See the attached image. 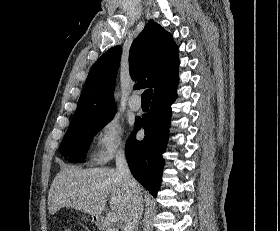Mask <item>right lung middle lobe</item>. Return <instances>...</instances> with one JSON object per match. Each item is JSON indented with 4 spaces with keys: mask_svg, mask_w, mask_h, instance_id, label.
<instances>
[{
    "mask_svg": "<svg viewBox=\"0 0 280 231\" xmlns=\"http://www.w3.org/2000/svg\"><path fill=\"white\" fill-rule=\"evenodd\" d=\"M113 116L70 124L61 144V154L73 163L84 161L93 137Z\"/></svg>",
    "mask_w": 280,
    "mask_h": 231,
    "instance_id": "dd1d6c3e",
    "label": "right lung middle lobe"
}]
</instances>
